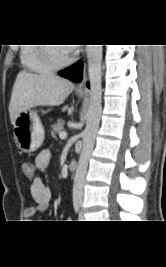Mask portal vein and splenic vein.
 <instances>
[{
	"label": "portal vein and splenic vein",
	"mask_w": 166,
	"mask_h": 267,
	"mask_svg": "<svg viewBox=\"0 0 166 267\" xmlns=\"http://www.w3.org/2000/svg\"><path fill=\"white\" fill-rule=\"evenodd\" d=\"M59 137H60V139H65L67 137V133L66 132H61L59 134Z\"/></svg>",
	"instance_id": "portal-vein-and-splenic-vein-1"
}]
</instances>
